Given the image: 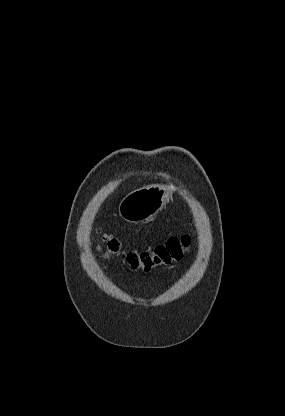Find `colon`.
Instances as JSON below:
<instances>
[{
  "label": "colon",
  "instance_id": "1",
  "mask_svg": "<svg viewBox=\"0 0 285 416\" xmlns=\"http://www.w3.org/2000/svg\"><path fill=\"white\" fill-rule=\"evenodd\" d=\"M99 241L107 259L111 257L119 258L131 270H143L145 272L181 260L190 244L189 236L183 235L172 237L152 250L138 252L123 251L121 242L117 238L104 233L100 234Z\"/></svg>",
  "mask_w": 285,
  "mask_h": 416
}]
</instances>
